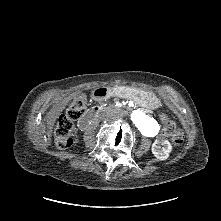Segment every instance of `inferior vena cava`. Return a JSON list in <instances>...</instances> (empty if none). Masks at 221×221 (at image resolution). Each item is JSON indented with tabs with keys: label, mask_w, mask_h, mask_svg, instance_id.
Here are the masks:
<instances>
[{
	"label": "inferior vena cava",
	"mask_w": 221,
	"mask_h": 221,
	"mask_svg": "<svg viewBox=\"0 0 221 221\" xmlns=\"http://www.w3.org/2000/svg\"><path fill=\"white\" fill-rule=\"evenodd\" d=\"M110 115H111L110 113L103 114V115L100 116V119H101V120H109V116H110Z\"/></svg>",
	"instance_id": "602c4592"
}]
</instances>
